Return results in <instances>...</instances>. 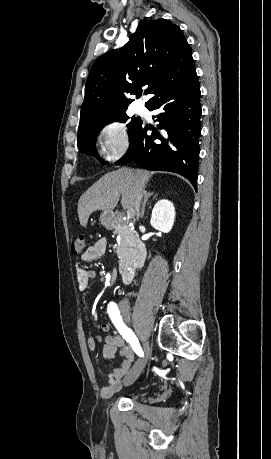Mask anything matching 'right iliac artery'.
Segmentation results:
<instances>
[{
    "instance_id": "obj_1",
    "label": "right iliac artery",
    "mask_w": 271,
    "mask_h": 459,
    "mask_svg": "<svg viewBox=\"0 0 271 459\" xmlns=\"http://www.w3.org/2000/svg\"><path fill=\"white\" fill-rule=\"evenodd\" d=\"M107 312H108L113 324L115 325L116 329L118 330V332L131 345V347L135 351V353L138 356L143 357L144 353H143V350H142V348H141V346L139 344V341H138L137 337L135 336V334L133 333V331L130 328H128L124 324V322L122 321V317L120 316V312H119L117 304L114 303V302H110L108 304ZM145 380L149 381L150 377L146 376Z\"/></svg>"
}]
</instances>
